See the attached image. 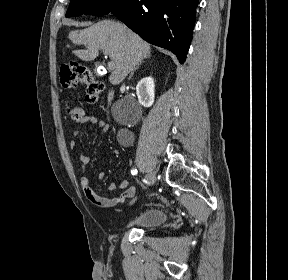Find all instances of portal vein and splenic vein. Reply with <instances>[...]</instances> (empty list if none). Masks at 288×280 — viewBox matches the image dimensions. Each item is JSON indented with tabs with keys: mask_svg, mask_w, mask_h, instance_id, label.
I'll list each match as a JSON object with an SVG mask.
<instances>
[{
	"mask_svg": "<svg viewBox=\"0 0 288 280\" xmlns=\"http://www.w3.org/2000/svg\"><path fill=\"white\" fill-rule=\"evenodd\" d=\"M104 55H108L106 51H103ZM108 69L113 70L114 69V63L112 61L108 62Z\"/></svg>",
	"mask_w": 288,
	"mask_h": 280,
	"instance_id": "portal-vein-and-splenic-vein-1",
	"label": "portal vein and splenic vein"
}]
</instances>
